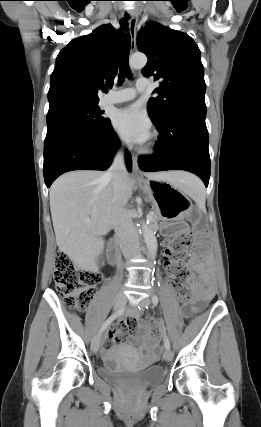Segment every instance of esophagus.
Returning <instances> with one entry per match:
<instances>
[{"label":"esophagus","mask_w":261,"mask_h":427,"mask_svg":"<svg viewBox=\"0 0 261 427\" xmlns=\"http://www.w3.org/2000/svg\"><path fill=\"white\" fill-rule=\"evenodd\" d=\"M129 15H130L129 33H130V38H131L130 49H131V52H133L135 50V47H136L137 15H136L135 11H133V10L129 11ZM132 165H133V175L136 178L142 177V173H141L139 166H138V158L136 155L132 156Z\"/></svg>","instance_id":"esophagus-1"}]
</instances>
